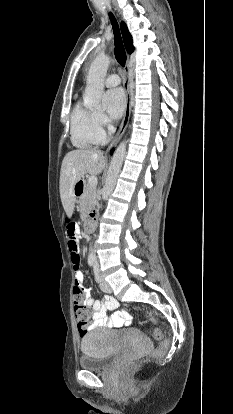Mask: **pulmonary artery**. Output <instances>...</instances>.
<instances>
[{
    "label": "pulmonary artery",
    "mask_w": 233,
    "mask_h": 414,
    "mask_svg": "<svg viewBox=\"0 0 233 414\" xmlns=\"http://www.w3.org/2000/svg\"><path fill=\"white\" fill-rule=\"evenodd\" d=\"M120 82H121V79L117 74H111L106 78L105 85L107 87H114V86L119 85Z\"/></svg>",
    "instance_id": "obj_1"
}]
</instances>
